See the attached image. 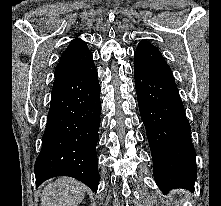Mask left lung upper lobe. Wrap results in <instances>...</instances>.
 <instances>
[{"label":"left lung upper lobe","mask_w":221,"mask_h":206,"mask_svg":"<svg viewBox=\"0 0 221 206\" xmlns=\"http://www.w3.org/2000/svg\"><path fill=\"white\" fill-rule=\"evenodd\" d=\"M134 69L137 72L173 77L161 52L148 41H141L134 53Z\"/></svg>","instance_id":"left-lung-upper-lobe-1"}]
</instances>
